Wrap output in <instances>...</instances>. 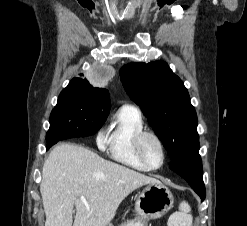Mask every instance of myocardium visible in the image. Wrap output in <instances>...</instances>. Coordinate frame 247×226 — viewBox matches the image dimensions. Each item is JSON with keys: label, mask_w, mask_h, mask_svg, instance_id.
I'll use <instances>...</instances> for the list:
<instances>
[{"label": "myocardium", "mask_w": 247, "mask_h": 226, "mask_svg": "<svg viewBox=\"0 0 247 226\" xmlns=\"http://www.w3.org/2000/svg\"><path fill=\"white\" fill-rule=\"evenodd\" d=\"M146 137H152L153 139H155L161 149V153H162V159H161V163L158 166H153L151 165L144 153H143V149H142V145H143V141ZM134 149H135V153L136 156L138 157V159L150 170H157L159 168H161L166 160V148H165V144L162 140V138L155 132L150 131V130H142L140 131L134 139Z\"/></svg>", "instance_id": "f54148a6"}]
</instances>
